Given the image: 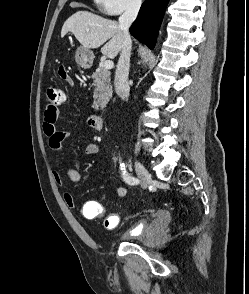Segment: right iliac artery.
<instances>
[{
    "instance_id": "1",
    "label": "right iliac artery",
    "mask_w": 249,
    "mask_h": 294,
    "mask_svg": "<svg viewBox=\"0 0 249 294\" xmlns=\"http://www.w3.org/2000/svg\"><path fill=\"white\" fill-rule=\"evenodd\" d=\"M120 169H121V171H122V177H123V179H124V181L126 182V183H128L129 185H137V184H139V182H140V180L138 179V178H135V177H133V176H130L128 173H127V171H126V169H125V165H124V163H121L120 164Z\"/></svg>"
}]
</instances>
